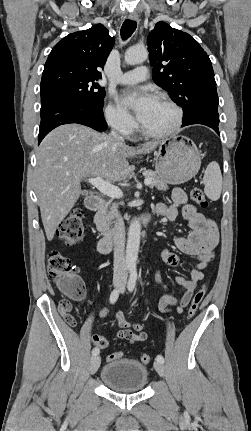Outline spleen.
I'll use <instances>...</instances> for the list:
<instances>
[{"label": "spleen", "instance_id": "1", "mask_svg": "<svg viewBox=\"0 0 251 431\" xmlns=\"http://www.w3.org/2000/svg\"><path fill=\"white\" fill-rule=\"evenodd\" d=\"M203 183L205 185L204 192L206 196L210 200H218L222 191V174L219 164L216 161H212L207 166L203 177Z\"/></svg>", "mask_w": 251, "mask_h": 431}]
</instances>
